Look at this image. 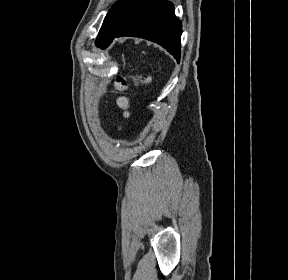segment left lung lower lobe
I'll return each instance as SVG.
<instances>
[{
  "label": "left lung lower lobe",
  "instance_id": "0a47b994",
  "mask_svg": "<svg viewBox=\"0 0 288 280\" xmlns=\"http://www.w3.org/2000/svg\"><path fill=\"white\" fill-rule=\"evenodd\" d=\"M181 22L174 7L166 0H145L126 19L112 38L100 48L105 49L116 37L131 36L153 41L165 48L179 63Z\"/></svg>",
  "mask_w": 288,
  "mask_h": 280
}]
</instances>
